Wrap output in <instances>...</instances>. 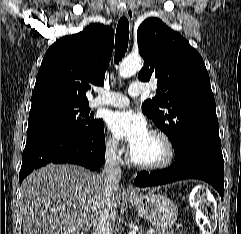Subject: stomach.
Wrapping results in <instances>:
<instances>
[{"label": "stomach", "mask_w": 241, "mask_h": 234, "mask_svg": "<svg viewBox=\"0 0 241 234\" xmlns=\"http://www.w3.org/2000/svg\"><path fill=\"white\" fill-rule=\"evenodd\" d=\"M128 199L138 213L155 228H170L177 219V206L164 195L150 191L147 194L128 196Z\"/></svg>", "instance_id": "stomach-1"}]
</instances>
